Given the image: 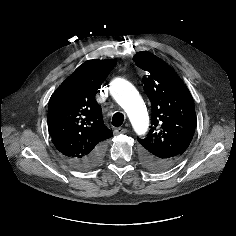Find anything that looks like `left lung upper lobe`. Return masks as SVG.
Wrapping results in <instances>:
<instances>
[{"label": "left lung upper lobe", "instance_id": "obj_1", "mask_svg": "<svg viewBox=\"0 0 236 236\" xmlns=\"http://www.w3.org/2000/svg\"><path fill=\"white\" fill-rule=\"evenodd\" d=\"M135 64L147 72L145 91L152 105L147 136L138 138L141 159L152 171H163V162L174 164L188 148L196 127L193 98L177 73L165 61L148 52L134 55Z\"/></svg>", "mask_w": 236, "mask_h": 236}]
</instances>
